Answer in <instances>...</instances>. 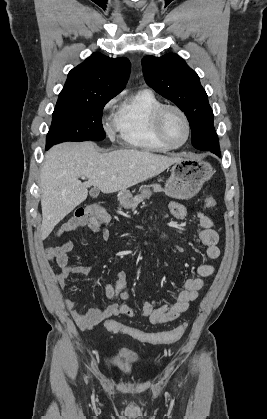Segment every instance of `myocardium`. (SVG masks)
I'll return each mask as SVG.
<instances>
[{"label": "myocardium", "instance_id": "obj_1", "mask_svg": "<svg viewBox=\"0 0 267 419\" xmlns=\"http://www.w3.org/2000/svg\"><path fill=\"white\" fill-rule=\"evenodd\" d=\"M169 110H174L176 111L181 118L184 121L185 127H186V137L185 140L178 145H175L173 143H171L168 138L166 137L165 133H164V127H163V123H164V118L166 113ZM153 127H154V131L156 133V136L158 137V139L168 148L170 149H178L180 147H182L183 145H185L187 143V141L190 138L191 135V125H190V121L188 119L187 114L185 113V111L180 108L177 105L174 104H162L154 113L153 116Z\"/></svg>", "mask_w": 267, "mask_h": 419}]
</instances>
